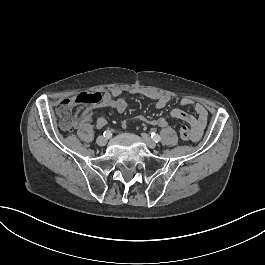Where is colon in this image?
<instances>
[{"label":"colon","instance_id":"obj_1","mask_svg":"<svg viewBox=\"0 0 265 265\" xmlns=\"http://www.w3.org/2000/svg\"><path fill=\"white\" fill-rule=\"evenodd\" d=\"M101 102V95L98 92L76 93L65 100V105H61L58 109L61 126L68 128L72 126L74 117L77 115V109L79 106L98 105ZM180 137L184 141H191L189 132L185 131L180 126Z\"/></svg>","mask_w":265,"mask_h":265}]
</instances>
